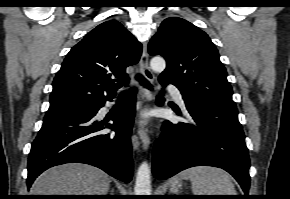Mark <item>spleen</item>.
Here are the masks:
<instances>
[{
  "mask_svg": "<svg viewBox=\"0 0 290 199\" xmlns=\"http://www.w3.org/2000/svg\"><path fill=\"white\" fill-rule=\"evenodd\" d=\"M182 179H190L194 195H236L230 176L222 169L197 166L181 173ZM178 182L174 180L173 186Z\"/></svg>",
  "mask_w": 290,
  "mask_h": 199,
  "instance_id": "3e777b00",
  "label": "spleen"
}]
</instances>
